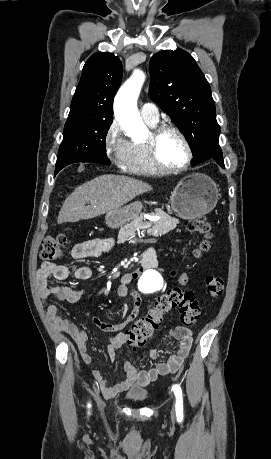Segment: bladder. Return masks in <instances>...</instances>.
Instances as JSON below:
<instances>
[{
    "label": "bladder",
    "mask_w": 271,
    "mask_h": 459,
    "mask_svg": "<svg viewBox=\"0 0 271 459\" xmlns=\"http://www.w3.org/2000/svg\"><path fill=\"white\" fill-rule=\"evenodd\" d=\"M127 397L131 398L137 403L146 401L147 393L145 390H133L127 393Z\"/></svg>",
    "instance_id": "obj_1"
}]
</instances>
